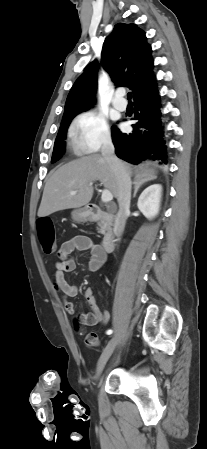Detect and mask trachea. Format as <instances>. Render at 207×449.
Masks as SVG:
<instances>
[{"instance_id": "obj_1", "label": "trachea", "mask_w": 207, "mask_h": 449, "mask_svg": "<svg viewBox=\"0 0 207 449\" xmlns=\"http://www.w3.org/2000/svg\"><path fill=\"white\" fill-rule=\"evenodd\" d=\"M131 98H132V94H131V92H129V93L127 94V99L130 101Z\"/></svg>"}]
</instances>
